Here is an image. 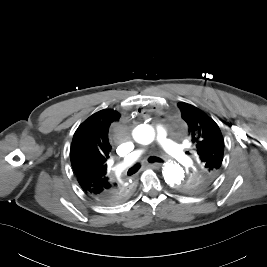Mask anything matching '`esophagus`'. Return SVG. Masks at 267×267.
I'll list each match as a JSON object with an SVG mask.
<instances>
[{"instance_id": "1", "label": "esophagus", "mask_w": 267, "mask_h": 267, "mask_svg": "<svg viewBox=\"0 0 267 267\" xmlns=\"http://www.w3.org/2000/svg\"><path fill=\"white\" fill-rule=\"evenodd\" d=\"M162 166L161 163H150L148 164V167L153 168V169H159Z\"/></svg>"}]
</instances>
